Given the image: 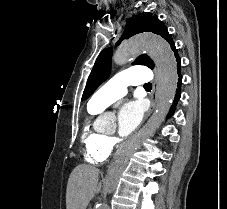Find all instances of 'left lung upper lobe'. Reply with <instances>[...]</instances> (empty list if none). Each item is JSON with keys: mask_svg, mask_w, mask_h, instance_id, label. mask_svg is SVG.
<instances>
[{"mask_svg": "<svg viewBox=\"0 0 227 209\" xmlns=\"http://www.w3.org/2000/svg\"><path fill=\"white\" fill-rule=\"evenodd\" d=\"M142 32H152L160 35L167 40L171 48L175 46L164 23L161 22L156 15H152V13L149 12L146 14L136 15L127 20L123 35L117 41L116 46L119 45L123 39L130 38ZM111 57L112 50L109 48L104 49L97 57L83 92L82 101L87 99L95 91V89L109 77L111 70ZM132 64L145 65L151 69L154 68L153 61L147 55H140Z\"/></svg>", "mask_w": 227, "mask_h": 209, "instance_id": "5c2ea615", "label": "left lung upper lobe"}]
</instances>
